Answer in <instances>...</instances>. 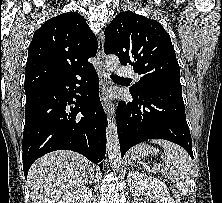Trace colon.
I'll return each mask as SVG.
<instances>
[{
	"label": "colon",
	"instance_id": "1",
	"mask_svg": "<svg viewBox=\"0 0 222 203\" xmlns=\"http://www.w3.org/2000/svg\"><path fill=\"white\" fill-rule=\"evenodd\" d=\"M173 203H180V198L177 193H175L173 196Z\"/></svg>",
	"mask_w": 222,
	"mask_h": 203
}]
</instances>
